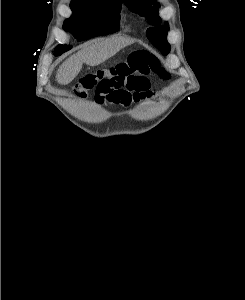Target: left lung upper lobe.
<instances>
[{"label": "left lung upper lobe", "mask_w": 245, "mask_h": 300, "mask_svg": "<svg viewBox=\"0 0 245 300\" xmlns=\"http://www.w3.org/2000/svg\"><path fill=\"white\" fill-rule=\"evenodd\" d=\"M124 3L132 12L145 16L151 24L157 26L147 29V36L162 54H168L170 50V45L167 42L169 25H159L161 19L158 16L159 3L157 0H124Z\"/></svg>", "instance_id": "obj_1"}]
</instances>
